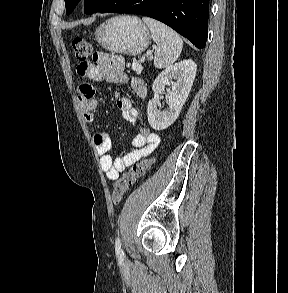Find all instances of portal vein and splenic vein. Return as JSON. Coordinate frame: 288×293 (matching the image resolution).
Masks as SVG:
<instances>
[{
	"label": "portal vein and splenic vein",
	"instance_id": "1",
	"mask_svg": "<svg viewBox=\"0 0 288 293\" xmlns=\"http://www.w3.org/2000/svg\"><path fill=\"white\" fill-rule=\"evenodd\" d=\"M132 69L137 71L138 73H141V71L143 70V67L141 66V64H133Z\"/></svg>",
	"mask_w": 288,
	"mask_h": 293
}]
</instances>
